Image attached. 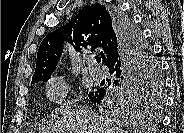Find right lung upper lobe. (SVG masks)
I'll return each instance as SVG.
<instances>
[{
  "label": "right lung upper lobe",
  "mask_w": 184,
  "mask_h": 133,
  "mask_svg": "<svg viewBox=\"0 0 184 133\" xmlns=\"http://www.w3.org/2000/svg\"><path fill=\"white\" fill-rule=\"evenodd\" d=\"M67 40L76 51L90 48L101 50L107 65L121 48V39L114 25V19L106 6L92 4L83 7L67 24L49 33L41 42L32 82L51 77L63 52Z\"/></svg>",
  "instance_id": "right-lung-upper-lobe-1"
}]
</instances>
